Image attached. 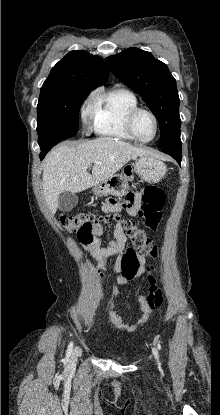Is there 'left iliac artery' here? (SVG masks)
Returning a JSON list of instances; mask_svg holds the SVG:
<instances>
[{
  "mask_svg": "<svg viewBox=\"0 0 220 415\" xmlns=\"http://www.w3.org/2000/svg\"><path fill=\"white\" fill-rule=\"evenodd\" d=\"M157 347H158V349H159V350H161V345H160V343H158V344H157Z\"/></svg>",
  "mask_w": 220,
  "mask_h": 415,
  "instance_id": "left-iliac-artery-1",
  "label": "left iliac artery"
}]
</instances>
